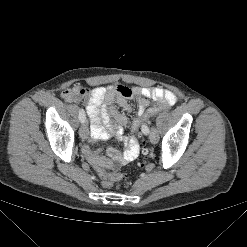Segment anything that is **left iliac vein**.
<instances>
[{"instance_id":"left-iliac-vein-1","label":"left iliac vein","mask_w":247,"mask_h":247,"mask_svg":"<svg viewBox=\"0 0 247 247\" xmlns=\"http://www.w3.org/2000/svg\"><path fill=\"white\" fill-rule=\"evenodd\" d=\"M147 127V125L143 126L142 132L144 133V129ZM145 134V133H144ZM149 140L151 143L155 144L158 141V135L157 131L154 129L150 134H149Z\"/></svg>"}]
</instances>
